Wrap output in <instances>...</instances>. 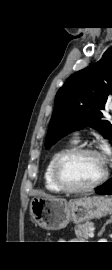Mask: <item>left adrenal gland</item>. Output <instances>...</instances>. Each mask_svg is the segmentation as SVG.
<instances>
[{"label": "left adrenal gland", "instance_id": "a2214340", "mask_svg": "<svg viewBox=\"0 0 112 270\" xmlns=\"http://www.w3.org/2000/svg\"><path fill=\"white\" fill-rule=\"evenodd\" d=\"M109 223H112V215H111L110 218L106 221V223L103 225L101 231L99 232V236H101V235L104 233V231H105V229H106V226H107Z\"/></svg>", "mask_w": 112, "mask_h": 270}]
</instances>
